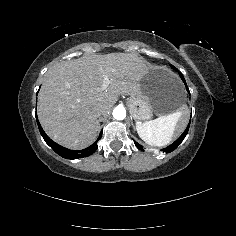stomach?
I'll list each match as a JSON object with an SVG mask.
<instances>
[{
  "mask_svg": "<svg viewBox=\"0 0 236 236\" xmlns=\"http://www.w3.org/2000/svg\"><path fill=\"white\" fill-rule=\"evenodd\" d=\"M182 83L169 72L150 69L139 82V92L127 101L131 117L137 121L150 120L153 114L168 116L185 103Z\"/></svg>",
  "mask_w": 236,
  "mask_h": 236,
  "instance_id": "obj_1",
  "label": "stomach"
}]
</instances>
